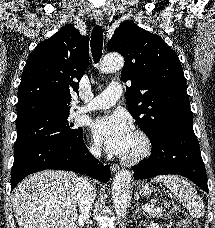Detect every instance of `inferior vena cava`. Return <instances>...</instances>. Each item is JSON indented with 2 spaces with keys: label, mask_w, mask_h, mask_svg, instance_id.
<instances>
[{
  "label": "inferior vena cava",
  "mask_w": 215,
  "mask_h": 228,
  "mask_svg": "<svg viewBox=\"0 0 215 228\" xmlns=\"http://www.w3.org/2000/svg\"><path fill=\"white\" fill-rule=\"evenodd\" d=\"M91 154L95 158H100L101 152L99 148H90ZM75 192L77 198V204L80 212V218L87 220L91 216L92 206L94 204L96 190L93 184L87 182L85 178H77L75 182Z\"/></svg>",
  "instance_id": "obj_1"
}]
</instances>
